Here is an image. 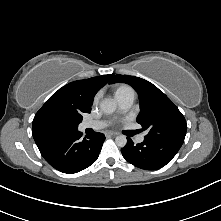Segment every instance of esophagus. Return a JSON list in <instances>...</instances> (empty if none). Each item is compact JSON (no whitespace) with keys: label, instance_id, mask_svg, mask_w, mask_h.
<instances>
[{"label":"esophagus","instance_id":"34e87169","mask_svg":"<svg viewBox=\"0 0 221 221\" xmlns=\"http://www.w3.org/2000/svg\"><path fill=\"white\" fill-rule=\"evenodd\" d=\"M106 135L116 136V135H118V133H116V132H107Z\"/></svg>","mask_w":221,"mask_h":221}]
</instances>
